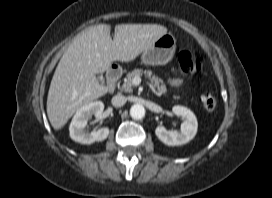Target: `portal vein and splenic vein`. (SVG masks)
<instances>
[{"instance_id":"portal-vein-and-splenic-vein-1","label":"portal vein and splenic vein","mask_w":272,"mask_h":198,"mask_svg":"<svg viewBox=\"0 0 272 198\" xmlns=\"http://www.w3.org/2000/svg\"><path fill=\"white\" fill-rule=\"evenodd\" d=\"M141 83V78L140 77H135L133 79V85L138 86Z\"/></svg>"}]
</instances>
